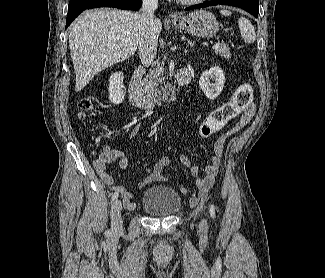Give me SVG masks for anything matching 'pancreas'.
<instances>
[{
    "label": "pancreas",
    "mask_w": 325,
    "mask_h": 278,
    "mask_svg": "<svg viewBox=\"0 0 325 278\" xmlns=\"http://www.w3.org/2000/svg\"><path fill=\"white\" fill-rule=\"evenodd\" d=\"M215 53L230 59L231 54L228 45L222 44L219 48L215 49ZM166 70L163 64H158L143 81V90L151 101L159 103L162 97L166 96L167 85L165 84Z\"/></svg>",
    "instance_id": "obj_1"
}]
</instances>
